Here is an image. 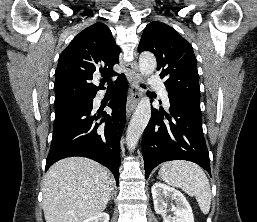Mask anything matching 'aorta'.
Returning <instances> with one entry per match:
<instances>
[{
	"label": "aorta",
	"mask_w": 257,
	"mask_h": 222,
	"mask_svg": "<svg viewBox=\"0 0 257 222\" xmlns=\"http://www.w3.org/2000/svg\"><path fill=\"white\" fill-rule=\"evenodd\" d=\"M156 69V59L152 53L144 52L139 57V71L142 75H150ZM151 117V103L143 97L132 116L126 132V143L129 150L135 149L144 129Z\"/></svg>",
	"instance_id": "aorta-1"
}]
</instances>
